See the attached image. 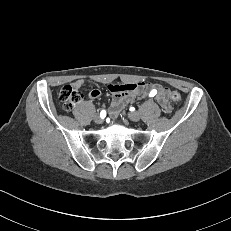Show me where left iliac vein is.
Listing matches in <instances>:
<instances>
[{
  "instance_id": "left-iliac-vein-1",
  "label": "left iliac vein",
  "mask_w": 231,
  "mask_h": 231,
  "mask_svg": "<svg viewBox=\"0 0 231 231\" xmlns=\"http://www.w3.org/2000/svg\"><path fill=\"white\" fill-rule=\"evenodd\" d=\"M129 119L134 121V122H137L140 120L141 116H140V113L139 112H131L129 115H128Z\"/></svg>"
}]
</instances>
